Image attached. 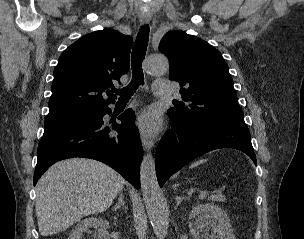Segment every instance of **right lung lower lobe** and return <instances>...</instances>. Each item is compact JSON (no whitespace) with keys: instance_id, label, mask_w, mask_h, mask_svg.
Listing matches in <instances>:
<instances>
[{"instance_id":"obj_1","label":"right lung lower lobe","mask_w":304,"mask_h":239,"mask_svg":"<svg viewBox=\"0 0 304 239\" xmlns=\"http://www.w3.org/2000/svg\"><path fill=\"white\" fill-rule=\"evenodd\" d=\"M105 114H111L108 105L88 118L45 123L37 150L34 185L55 162L84 157L109 165L139 189L142 144L134 126L135 114L127 109L119 116L122 123L111 126L104 123ZM112 130L118 135L110 133Z\"/></svg>"}]
</instances>
